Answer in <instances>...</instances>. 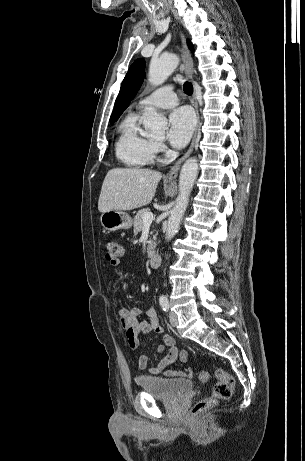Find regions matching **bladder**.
<instances>
[{
    "label": "bladder",
    "mask_w": 305,
    "mask_h": 461,
    "mask_svg": "<svg viewBox=\"0 0 305 461\" xmlns=\"http://www.w3.org/2000/svg\"><path fill=\"white\" fill-rule=\"evenodd\" d=\"M140 390L164 400H175L181 394L192 389V382L183 378H166L157 375H141L137 377Z\"/></svg>",
    "instance_id": "31cf9c89"
}]
</instances>
